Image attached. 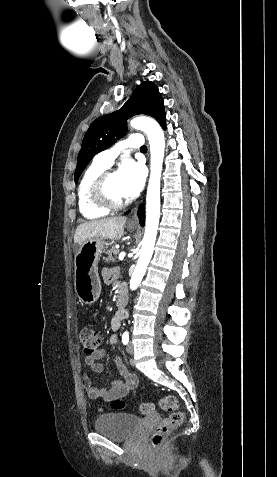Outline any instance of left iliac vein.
I'll list each match as a JSON object with an SVG mask.
<instances>
[{
    "instance_id": "left-iliac-vein-1",
    "label": "left iliac vein",
    "mask_w": 277,
    "mask_h": 477,
    "mask_svg": "<svg viewBox=\"0 0 277 477\" xmlns=\"http://www.w3.org/2000/svg\"><path fill=\"white\" fill-rule=\"evenodd\" d=\"M126 350H127V353L132 355L134 353V347H133V344L132 343H128L127 347H126Z\"/></svg>"
}]
</instances>
